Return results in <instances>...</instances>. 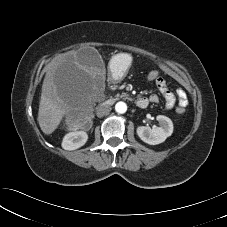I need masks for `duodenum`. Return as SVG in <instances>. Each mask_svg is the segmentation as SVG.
Returning a JSON list of instances; mask_svg holds the SVG:
<instances>
[{
    "label": "duodenum",
    "instance_id": "410a0bca",
    "mask_svg": "<svg viewBox=\"0 0 227 227\" xmlns=\"http://www.w3.org/2000/svg\"><path fill=\"white\" fill-rule=\"evenodd\" d=\"M110 104H111V101L105 103V105H110ZM148 104H149L148 100L145 98H139L136 100V105L139 108H146L148 106Z\"/></svg>",
    "mask_w": 227,
    "mask_h": 227
}]
</instances>
